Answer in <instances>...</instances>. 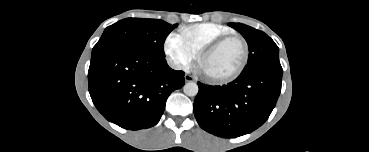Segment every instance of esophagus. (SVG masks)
<instances>
[{
  "label": "esophagus",
  "mask_w": 369,
  "mask_h": 152,
  "mask_svg": "<svg viewBox=\"0 0 369 152\" xmlns=\"http://www.w3.org/2000/svg\"><path fill=\"white\" fill-rule=\"evenodd\" d=\"M186 82H192L195 81V78L191 75L185 74L184 76Z\"/></svg>",
  "instance_id": "1"
}]
</instances>
